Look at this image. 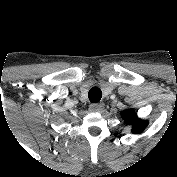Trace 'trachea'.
I'll return each mask as SVG.
<instances>
[{
    "label": "trachea",
    "mask_w": 177,
    "mask_h": 177,
    "mask_svg": "<svg viewBox=\"0 0 177 177\" xmlns=\"http://www.w3.org/2000/svg\"><path fill=\"white\" fill-rule=\"evenodd\" d=\"M88 97L91 103H98L101 100L102 92L100 88L93 87L89 90Z\"/></svg>",
    "instance_id": "obj_1"
}]
</instances>
